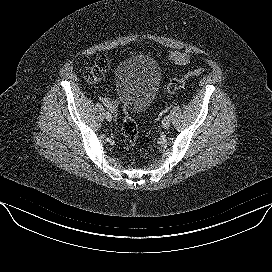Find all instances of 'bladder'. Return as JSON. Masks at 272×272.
Masks as SVG:
<instances>
[{
    "label": "bladder",
    "instance_id": "bladder-1",
    "mask_svg": "<svg viewBox=\"0 0 272 272\" xmlns=\"http://www.w3.org/2000/svg\"><path fill=\"white\" fill-rule=\"evenodd\" d=\"M161 83L158 63L146 55L123 61L115 72V90L129 112L146 110L154 101Z\"/></svg>",
    "mask_w": 272,
    "mask_h": 272
}]
</instances>
